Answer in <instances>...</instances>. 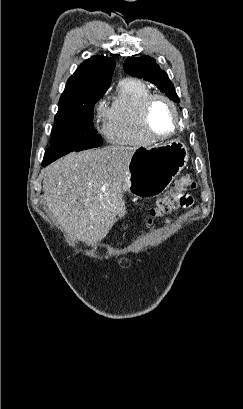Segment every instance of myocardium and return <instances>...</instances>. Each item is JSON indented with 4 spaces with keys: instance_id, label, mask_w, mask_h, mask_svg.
Returning <instances> with one entry per match:
<instances>
[{
    "instance_id": "1",
    "label": "myocardium",
    "mask_w": 243,
    "mask_h": 409,
    "mask_svg": "<svg viewBox=\"0 0 243 409\" xmlns=\"http://www.w3.org/2000/svg\"><path fill=\"white\" fill-rule=\"evenodd\" d=\"M157 100H162L165 103H167L169 107L171 108L174 118H175L174 129L170 133L165 134V135H160V134L155 133L150 124L151 109H152L153 104ZM141 120H142V125H143L145 132L153 141L166 140V139L173 137L177 133L180 127V115L176 107V104L169 97L163 94H157V93L150 94L144 100L142 104V108H141Z\"/></svg>"
}]
</instances>
